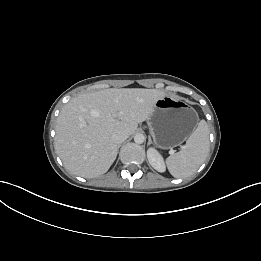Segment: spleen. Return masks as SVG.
Returning <instances> with one entry per match:
<instances>
[{
    "mask_svg": "<svg viewBox=\"0 0 261 261\" xmlns=\"http://www.w3.org/2000/svg\"><path fill=\"white\" fill-rule=\"evenodd\" d=\"M208 152V126L205 120H201L181 150L167 158V168L175 178L189 177L198 170Z\"/></svg>",
    "mask_w": 261,
    "mask_h": 261,
    "instance_id": "obj_1",
    "label": "spleen"
}]
</instances>
